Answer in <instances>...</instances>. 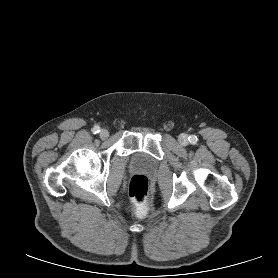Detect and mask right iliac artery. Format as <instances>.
I'll return each instance as SVG.
<instances>
[{"label":"right iliac artery","mask_w":278,"mask_h":278,"mask_svg":"<svg viewBox=\"0 0 278 278\" xmlns=\"http://www.w3.org/2000/svg\"><path fill=\"white\" fill-rule=\"evenodd\" d=\"M92 132H93L94 134L99 133V132H100V127H99V126H95V127L92 129Z\"/></svg>","instance_id":"1"}]
</instances>
